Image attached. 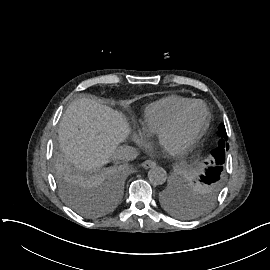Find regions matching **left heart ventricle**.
<instances>
[{
    "instance_id": "b2bd125f",
    "label": "left heart ventricle",
    "mask_w": 270,
    "mask_h": 270,
    "mask_svg": "<svg viewBox=\"0 0 270 270\" xmlns=\"http://www.w3.org/2000/svg\"><path fill=\"white\" fill-rule=\"evenodd\" d=\"M205 119V111L201 105H197L192 108L189 113L186 115L181 127L171 133H168L163 136L162 140L176 148L181 145L183 141L198 127L202 125Z\"/></svg>"
}]
</instances>
